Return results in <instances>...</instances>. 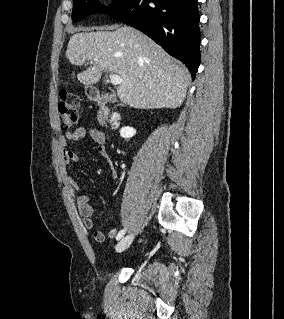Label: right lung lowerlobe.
<instances>
[{"mask_svg":"<svg viewBox=\"0 0 284 319\" xmlns=\"http://www.w3.org/2000/svg\"><path fill=\"white\" fill-rule=\"evenodd\" d=\"M107 14L148 35L195 78L201 41L197 0H132Z\"/></svg>","mask_w":284,"mask_h":319,"instance_id":"right-lung-lower-lobe-1","label":"right lung lower lobe"}]
</instances>
